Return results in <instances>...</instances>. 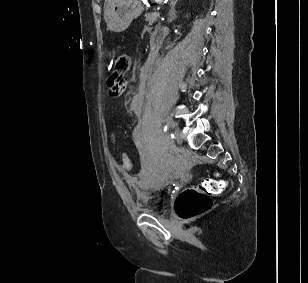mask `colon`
I'll list each match as a JSON object with an SVG mask.
<instances>
[{"label":"colon","instance_id":"colon-1","mask_svg":"<svg viewBox=\"0 0 308 283\" xmlns=\"http://www.w3.org/2000/svg\"><path fill=\"white\" fill-rule=\"evenodd\" d=\"M112 74L108 78V84L123 86L126 82V73L130 69L131 60L128 54L113 51L110 54ZM122 164L126 169L132 166L126 153H121ZM225 188V182L216 178L204 179L197 186L183 190L175 201V211L184 220L192 219L210 209L212 196L220 194Z\"/></svg>","mask_w":308,"mask_h":283}]
</instances>
